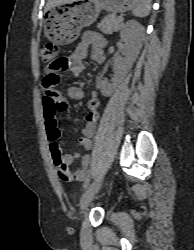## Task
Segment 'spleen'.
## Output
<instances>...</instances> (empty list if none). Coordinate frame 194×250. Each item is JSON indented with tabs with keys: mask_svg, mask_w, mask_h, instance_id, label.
<instances>
[{
	"mask_svg": "<svg viewBox=\"0 0 194 250\" xmlns=\"http://www.w3.org/2000/svg\"><path fill=\"white\" fill-rule=\"evenodd\" d=\"M151 10V0H140V3L133 9L132 13L136 17H146Z\"/></svg>",
	"mask_w": 194,
	"mask_h": 250,
	"instance_id": "3e777b00",
	"label": "spleen"
}]
</instances>
